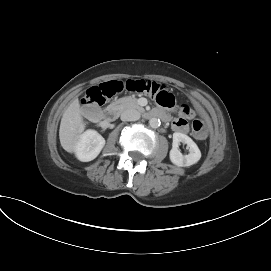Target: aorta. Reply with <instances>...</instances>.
<instances>
[{"instance_id":"aorta-1","label":"aorta","mask_w":271,"mask_h":271,"mask_svg":"<svg viewBox=\"0 0 271 271\" xmlns=\"http://www.w3.org/2000/svg\"><path fill=\"white\" fill-rule=\"evenodd\" d=\"M149 125L152 127V128H158L160 126V120L157 119V118H151L149 120Z\"/></svg>"}]
</instances>
